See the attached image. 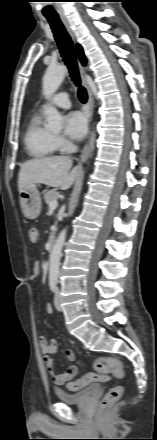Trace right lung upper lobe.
I'll use <instances>...</instances> for the list:
<instances>
[{
    "label": "right lung upper lobe",
    "mask_w": 157,
    "mask_h": 440,
    "mask_svg": "<svg viewBox=\"0 0 157 440\" xmlns=\"http://www.w3.org/2000/svg\"><path fill=\"white\" fill-rule=\"evenodd\" d=\"M76 50H77V55H78L81 63L83 65H85L86 64V59H85V56H84V53H83V49H82V47L79 44H77Z\"/></svg>",
    "instance_id": "1"
}]
</instances>
